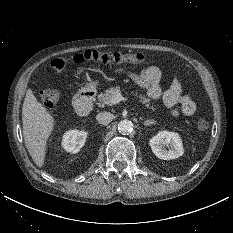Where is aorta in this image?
Here are the masks:
<instances>
[{"instance_id":"762f6f07","label":"aorta","mask_w":233,"mask_h":233,"mask_svg":"<svg viewBox=\"0 0 233 233\" xmlns=\"http://www.w3.org/2000/svg\"><path fill=\"white\" fill-rule=\"evenodd\" d=\"M133 130V123L130 120H122L118 123V131L122 134H128Z\"/></svg>"}]
</instances>
